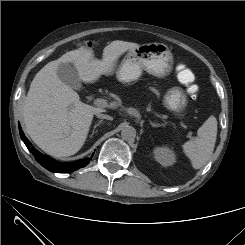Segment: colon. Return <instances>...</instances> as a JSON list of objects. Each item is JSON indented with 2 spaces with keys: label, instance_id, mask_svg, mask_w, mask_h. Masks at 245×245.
Returning a JSON list of instances; mask_svg holds the SVG:
<instances>
[{
  "label": "colon",
  "instance_id": "5ec220e1",
  "mask_svg": "<svg viewBox=\"0 0 245 245\" xmlns=\"http://www.w3.org/2000/svg\"><path fill=\"white\" fill-rule=\"evenodd\" d=\"M186 87V92L189 96H195L197 95L199 91V87L196 84L190 83H183Z\"/></svg>",
  "mask_w": 245,
  "mask_h": 245
}]
</instances>
